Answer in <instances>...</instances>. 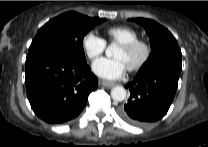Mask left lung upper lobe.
<instances>
[{
	"instance_id": "obj_1",
	"label": "left lung upper lobe",
	"mask_w": 208,
	"mask_h": 147,
	"mask_svg": "<svg viewBox=\"0 0 208 147\" xmlns=\"http://www.w3.org/2000/svg\"><path fill=\"white\" fill-rule=\"evenodd\" d=\"M144 27L150 37L152 52L137 75H142L158 67L169 66L181 72L182 53L178 43L169 30L154 20L131 19Z\"/></svg>"
}]
</instances>
